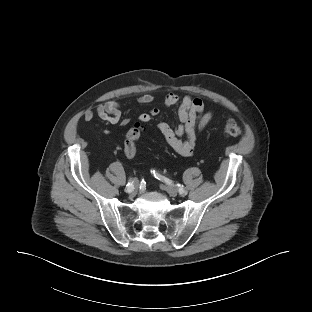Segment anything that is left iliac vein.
Wrapping results in <instances>:
<instances>
[{"label":"left iliac vein","mask_w":312,"mask_h":312,"mask_svg":"<svg viewBox=\"0 0 312 312\" xmlns=\"http://www.w3.org/2000/svg\"><path fill=\"white\" fill-rule=\"evenodd\" d=\"M163 189L171 196V197H175L178 194V189L172 185H164ZM185 192H187L185 190ZM185 195V194H184Z\"/></svg>","instance_id":"1"}]
</instances>
